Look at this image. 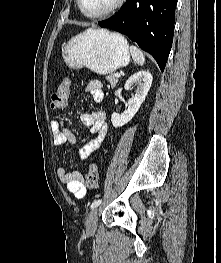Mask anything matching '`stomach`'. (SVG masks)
Returning a JSON list of instances; mask_svg holds the SVG:
<instances>
[{"instance_id": "0dacf381", "label": "stomach", "mask_w": 221, "mask_h": 263, "mask_svg": "<svg viewBox=\"0 0 221 263\" xmlns=\"http://www.w3.org/2000/svg\"><path fill=\"white\" fill-rule=\"evenodd\" d=\"M62 56L70 68L86 67L101 75L111 74L130 62L127 40L105 29L87 30L72 38L62 49Z\"/></svg>"}]
</instances>
